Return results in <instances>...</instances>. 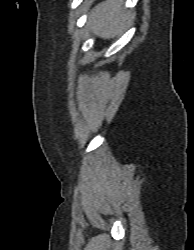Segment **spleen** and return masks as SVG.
Wrapping results in <instances>:
<instances>
[{"label": "spleen", "mask_w": 194, "mask_h": 250, "mask_svg": "<svg viewBox=\"0 0 194 250\" xmlns=\"http://www.w3.org/2000/svg\"><path fill=\"white\" fill-rule=\"evenodd\" d=\"M123 0H106L98 4L90 13L88 26L93 34L103 39H111L123 33L131 25L134 14L122 10Z\"/></svg>", "instance_id": "spleen-1"}]
</instances>
